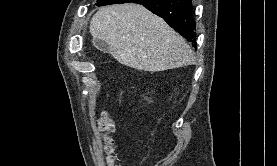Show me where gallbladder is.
Instances as JSON below:
<instances>
[{"label": "gallbladder", "instance_id": "bac80fb5", "mask_svg": "<svg viewBox=\"0 0 277 166\" xmlns=\"http://www.w3.org/2000/svg\"><path fill=\"white\" fill-rule=\"evenodd\" d=\"M93 45L104 53H109V46L105 41L99 39L92 40Z\"/></svg>", "mask_w": 277, "mask_h": 166}]
</instances>
